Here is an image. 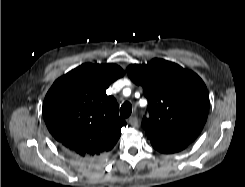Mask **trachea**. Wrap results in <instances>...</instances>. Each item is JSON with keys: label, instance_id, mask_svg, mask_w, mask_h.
I'll list each match as a JSON object with an SVG mask.
<instances>
[{"label": "trachea", "instance_id": "obj_1", "mask_svg": "<svg viewBox=\"0 0 245 187\" xmlns=\"http://www.w3.org/2000/svg\"><path fill=\"white\" fill-rule=\"evenodd\" d=\"M132 112V105L129 102H125L122 104L120 108V116L122 118H128Z\"/></svg>", "mask_w": 245, "mask_h": 187}]
</instances>
